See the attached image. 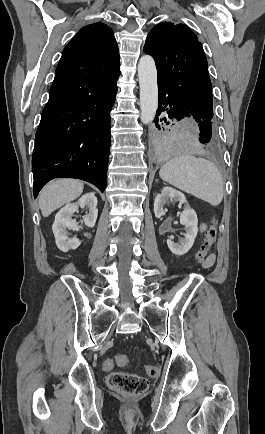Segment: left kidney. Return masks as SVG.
Segmentation results:
<instances>
[{"label":"left kidney","mask_w":265,"mask_h":434,"mask_svg":"<svg viewBox=\"0 0 265 434\" xmlns=\"http://www.w3.org/2000/svg\"><path fill=\"white\" fill-rule=\"evenodd\" d=\"M168 200H174V202H179V204H186V208L180 216V222L183 224V226H185L186 230V234H184L185 238H182L179 244H174L172 240H167L168 248L171 250L172 254H176V256H183V254H187L190 248H192L194 240L197 236V214L194 212V210H192V208H190L182 192H178V190H174V188H167L166 186V188H163L161 194H158V196L155 198V218H161V216H165L166 212L163 210V206L166 204V202H168Z\"/></svg>","instance_id":"obj_1"}]
</instances>
